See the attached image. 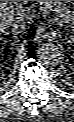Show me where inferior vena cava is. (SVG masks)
<instances>
[{"instance_id": "obj_1", "label": "inferior vena cava", "mask_w": 74, "mask_h": 122, "mask_svg": "<svg viewBox=\"0 0 74 122\" xmlns=\"http://www.w3.org/2000/svg\"><path fill=\"white\" fill-rule=\"evenodd\" d=\"M29 16L24 13H18L9 18V24L14 28L23 33L29 23Z\"/></svg>"}]
</instances>
